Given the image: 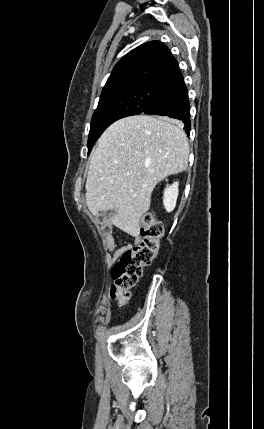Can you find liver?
Listing matches in <instances>:
<instances>
[{"label":"liver","mask_w":264,"mask_h":429,"mask_svg":"<svg viewBox=\"0 0 264 429\" xmlns=\"http://www.w3.org/2000/svg\"><path fill=\"white\" fill-rule=\"evenodd\" d=\"M189 144L182 124L166 117L136 115L109 126L98 140L86 180L91 213L114 210L113 225L138 236L158 182L188 166Z\"/></svg>","instance_id":"1"}]
</instances>
